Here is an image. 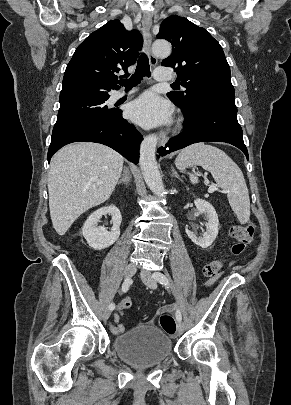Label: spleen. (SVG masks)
<instances>
[{"mask_svg": "<svg viewBox=\"0 0 291 405\" xmlns=\"http://www.w3.org/2000/svg\"><path fill=\"white\" fill-rule=\"evenodd\" d=\"M176 167L183 171L188 166L200 165L211 172L217 185L226 193L229 204L241 223L250 218V199L247 185L238 165L222 150L203 143L182 150L175 160ZM193 184L198 183L194 174H189Z\"/></svg>", "mask_w": 291, "mask_h": 405, "instance_id": "spleen-1", "label": "spleen"}]
</instances>
